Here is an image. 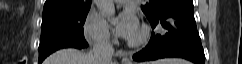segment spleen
Wrapping results in <instances>:
<instances>
[{
  "label": "spleen",
  "instance_id": "1",
  "mask_svg": "<svg viewBox=\"0 0 242 64\" xmlns=\"http://www.w3.org/2000/svg\"><path fill=\"white\" fill-rule=\"evenodd\" d=\"M154 64H189V63L183 59L170 58V59L158 60L154 62Z\"/></svg>",
  "mask_w": 242,
  "mask_h": 64
}]
</instances>
